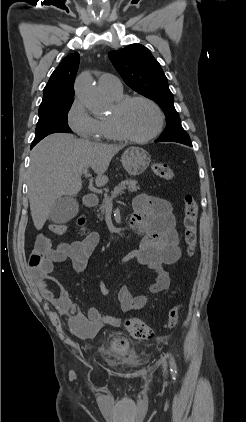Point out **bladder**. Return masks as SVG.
Listing matches in <instances>:
<instances>
[{
  "mask_svg": "<svg viewBox=\"0 0 246 422\" xmlns=\"http://www.w3.org/2000/svg\"><path fill=\"white\" fill-rule=\"evenodd\" d=\"M129 345L123 343L118 338H113L109 341L108 345L105 348V352L108 356L113 358H119L128 355Z\"/></svg>",
  "mask_w": 246,
  "mask_h": 422,
  "instance_id": "obj_1",
  "label": "bladder"
}]
</instances>
